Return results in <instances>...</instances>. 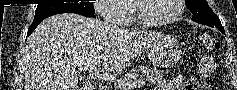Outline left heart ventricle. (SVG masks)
Masks as SVG:
<instances>
[{
    "label": "left heart ventricle",
    "mask_w": 237,
    "mask_h": 90,
    "mask_svg": "<svg viewBox=\"0 0 237 90\" xmlns=\"http://www.w3.org/2000/svg\"><path fill=\"white\" fill-rule=\"evenodd\" d=\"M175 0L138 1L140 14L147 20L158 21L170 17L175 11Z\"/></svg>",
    "instance_id": "1"
}]
</instances>
